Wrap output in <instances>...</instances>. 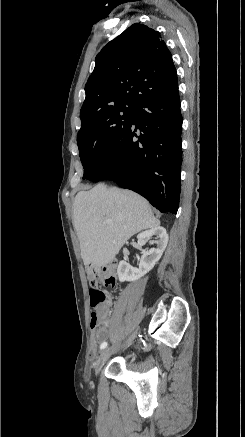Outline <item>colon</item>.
I'll return each instance as SVG.
<instances>
[{"mask_svg":"<svg viewBox=\"0 0 245 437\" xmlns=\"http://www.w3.org/2000/svg\"><path fill=\"white\" fill-rule=\"evenodd\" d=\"M89 281L91 285L89 290L90 304L94 308L91 314L94 324L93 335L95 338H102L106 334V329L99 325L103 320L107 302V294L104 289L116 285V263L111 262L105 267L92 272Z\"/></svg>","mask_w":245,"mask_h":437,"instance_id":"5ec220e1","label":"colon"}]
</instances>
